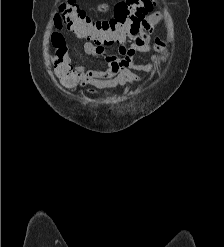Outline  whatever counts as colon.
<instances>
[{
	"label": "colon",
	"mask_w": 224,
	"mask_h": 247,
	"mask_svg": "<svg viewBox=\"0 0 224 247\" xmlns=\"http://www.w3.org/2000/svg\"><path fill=\"white\" fill-rule=\"evenodd\" d=\"M154 6V0H125L115 5L110 19L94 21L79 8L76 0H65L57 12L63 24L78 37L95 42H113L136 33ZM55 71L67 85L72 86L79 81L80 72L70 63L56 62Z\"/></svg>",
	"instance_id": "1"
}]
</instances>
